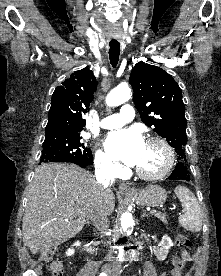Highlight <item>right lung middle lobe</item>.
I'll return each instance as SVG.
<instances>
[{"instance_id": "dd1d6c3e", "label": "right lung middle lobe", "mask_w": 221, "mask_h": 276, "mask_svg": "<svg viewBox=\"0 0 221 276\" xmlns=\"http://www.w3.org/2000/svg\"><path fill=\"white\" fill-rule=\"evenodd\" d=\"M81 139L79 132L45 135L40 161L93 163L92 152Z\"/></svg>"}]
</instances>
